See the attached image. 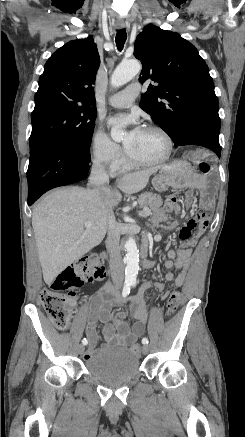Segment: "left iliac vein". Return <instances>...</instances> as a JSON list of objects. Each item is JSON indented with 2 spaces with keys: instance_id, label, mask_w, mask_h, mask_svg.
Returning <instances> with one entry per match:
<instances>
[{
  "instance_id": "1",
  "label": "left iliac vein",
  "mask_w": 245,
  "mask_h": 437,
  "mask_svg": "<svg viewBox=\"0 0 245 437\" xmlns=\"http://www.w3.org/2000/svg\"><path fill=\"white\" fill-rule=\"evenodd\" d=\"M142 352H143V354H147V353L149 352V347H148V345H146V344L143 345V347H142Z\"/></svg>"
}]
</instances>
